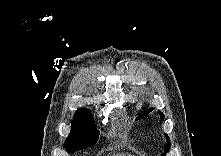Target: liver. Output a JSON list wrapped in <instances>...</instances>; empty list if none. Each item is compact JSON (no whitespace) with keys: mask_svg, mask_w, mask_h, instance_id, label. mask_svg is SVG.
Returning a JSON list of instances; mask_svg holds the SVG:
<instances>
[{"mask_svg":"<svg viewBox=\"0 0 221 156\" xmlns=\"http://www.w3.org/2000/svg\"><path fill=\"white\" fill-rule=\"evenodd\" d=\"M117 156H131V155H126V154H119V155H117Z\"/></svg>","mask_w":221,"mask_h":156,"instance_id":"1","label":"liver"}]
</instances>
